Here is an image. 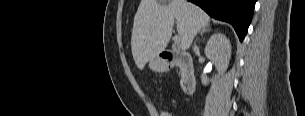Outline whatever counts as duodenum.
I'll use <instances>...</instances> for the list:
<instances>
[{
  "instance_id": "obj_1",
  "label": "duodenum",
  "mask_w": 305,
  "mask_h": 116,
  "mask_svg": "<svg viewBox=\"0 0 305 116\" xmlns=\"http://www.w3.org/2000/svg\"><path fill=\"white\" fill-rule=\"evenodd\" d=\"M161 59L166 64L167 68H171L176 65L180 67L183 92L186 95H191L194 92L196 85L195 69L192 58L188 54L166 50L161 54Z\"/></svg>"
}]
</instances>
